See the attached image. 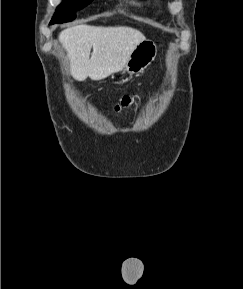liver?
<instances>
[{
    "label": "liver",
    "instance_id": "liver-1",
    "mask_svg": "<svg viewBox=\"0 0 243 289\" xmlns=\"http://www.w3.org/2000/svg\"><path fill=\"white\" fill-rule=\"evenodd\" d=\"M145 39L139 30L125 26L81 24L59 34L70 61V73L77 81L87 77L98 81L122 71L134 48Z\"/></svg>",
    "mask_w": 243,
    "mask_h": 289
}]
</instances>
